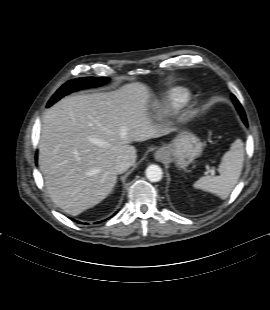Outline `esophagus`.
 I'll return each mask as SVG.
<instances>
[{
    "instance_id": "34e87169",
    "label": "esophagus",
    "mask_w": 270,
    "mask_h": 310,
    "mask_svg": "<svg viewBox=\"0 0 270 310\" xmlns=\"http://www.w3.org/2000/svg\"><path fill=\"white\" fill-rule=\"evenodd\" d=\"M167 156H168V151L164 147L159 148L154 154V158L157 161H163L167 158Z\"/></svg>"
}]
</instances>
